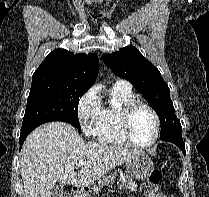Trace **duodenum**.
<instances>
[{
	"label": "duodenum",
	"mask_w": 209,
	"mask_h": 197,
	"mask_svg": "<svg viewBox=\"0 0 209 197\" xmlns=\"http://www.w3.org/2000/svg\"><path fill=\"white\" fill-rule=\"evenodd\" d=\"M84 193V188L82 186H75L74 187V194L80 196Z\"/></svg>",
	"instance_id": "duodenum-1"
}]
</instances>
